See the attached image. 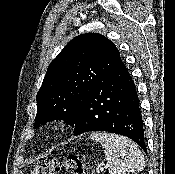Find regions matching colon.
Wrapping results in <instances>:
<instances>
[{
  "instance_id": "1",
  "label": "colon",
  "mask_w": 175,
  "mask_h": 174,
  "mask_svg": "<svg viewBox=\"0 0 175 174\" xmlns=\"http://www.w3.org/2000/svg\"><path fill=\"white\" fill-rule=\"evenodd\" d=\"M63 169L69 174H94L92 167L75 155H69L64 160L38 162L30 174H57Z\"/></svg>"
}]
</instances>
